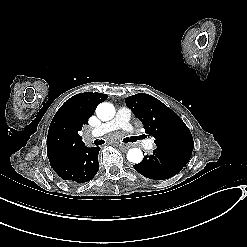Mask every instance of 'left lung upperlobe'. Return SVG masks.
Returning a JSON list of instances; mask_svg holds the SVG:
<instances>
[{"label": "left lung upper lobe", "mask_w": 247, "mask_h": 247, "mask_svg": "<svg viewBox=\"0 0 247 247\" xmlns=\"http://www.w3.org/2000/svg\"><path fill=\"white\" fill-rule=\"evenodd\" d=\"M126 105L143 123L145 133L155 138L158 149L190 160L194 142L181 118L157 98L138 93L125 99Z\"/></svg>", "instance_id": "5c2ea615"}]
</instances>
